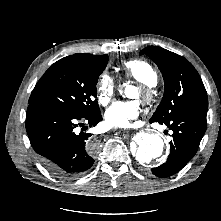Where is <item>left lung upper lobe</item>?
<instances>
[{"label": "left lung upper lobe", "mask_w": 221, "mask_h": 221, "mask_svg": "<svg viewBox=\"0 0 221 221\" xmlns=\"http://www.w3.org/2000/svg\"><path fill=\"white\" fill-rule=\"evenodd\" d=\"M140 54L148 55L158 65L165 84L162 101L150 120L163 123L179 115H188L206 122L207 92L192 64L158 46L145 47Z\"/></svg>", "instance_id": "obj_1"}]
</instances>
